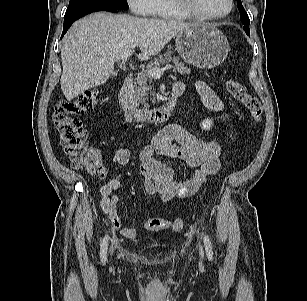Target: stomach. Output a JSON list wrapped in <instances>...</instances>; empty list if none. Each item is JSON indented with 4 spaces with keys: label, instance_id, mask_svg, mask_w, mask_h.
<instances>
[{
    "label": "stomach",
    "instance_id": "stomach-1",
    "mask_svg": "<svg viewBox=\"0 0 307 301\" xmlns=\"http://www.w3.org/2000/svg\"><path fill=\"white\" fill-rule=\"evenodd\" d=\"M175 48L185 62L207 69L216 67L225 60L229 43L217 28L196 24L177 34Z\"/></svg>",
    "mask_w": 307,
    "mask_h": 301
}]
</instances>
